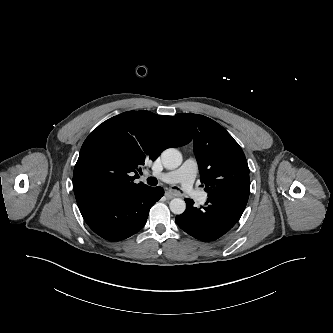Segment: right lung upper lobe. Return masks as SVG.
Segmentation results:
<instances>
[{"label": "right lung upper lobe", "mask_w": 333, "mask_h": 333, "mask_svg": "<svg viewBox=\"0 0 333 333\" xmlns=\"http://www.w3.org/2000/svg\"><path fill=\"white\" fill-rule=\"evenodd\" d=\"M192 140L188 127L173 116L128 111L100 124L84 141L74 168L76 201L92 197H130L149 186L135 183L142 167L168 147Z\"/></svg>", "instance_id": "1"}]
</instances>
